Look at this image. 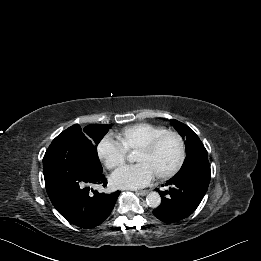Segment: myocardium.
I'll use <instances>...</instances> for the list:
<instances>
[{"label": "myocardium", "mask_w": 261, "mask_h": 261, "mask_svg": "<svg viewBox=\"0 0 261 261\" xmlns=\"http://www.w3.org/2000/svg\"><path fill=\"white\" fill-rule=\"evenodd\" d=\"M167 136H173L178 140L179 143V156L176 161V163L173 165L172 168L167 170L164 173L158 174L157 177L159 179H168L172 176H174L183 166L185 157H186V148H185V142L182 136L175 131L167 130L159 135H157L155 138H153L151 141H149L147 144L140 147L137 151L143 152V153H150L153 152L162 139H164Z\"/></svg>", "instance_id": "f54148a6"}]
</instances>
